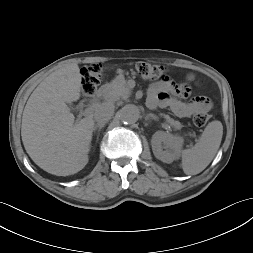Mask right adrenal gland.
Returning <instances> with one entry per match:
<instances>
[{"label": "right adrenal gland", "instance_id": "2a0ac1e0", "mask_svg": "<svg viewBox=\"0 0 253 253\" xmlns=\"http://www.w3.org/2000/svg\"><path fill=\"white\" fill-rule=\"evenodd\" d=\"M104 125H105V124H97V125H95L94 128H93L94 133H95V131H96L97 129H98V131L100 132L101 129L104 127Z\"/></svg>", "mask_w": 253, "mask_h": 253}]
</instances>
